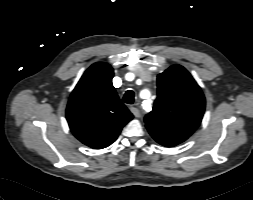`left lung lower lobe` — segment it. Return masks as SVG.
<instances>
[{
  "label": "left lung lower lobe",
  "mask_w": 253,
  "mask_h": 200,
  "mask_svg": "<svg viewBox=\"0 0 253 200\" xmlns=\"http://www.w3.org/2000/svg\"><path fill=\"white\" fill-rule=\"evenodd\" d=\"M150 135L161 145L166 147L176 146L185 141L189 136L166 132L153 127H147Z\"/></svg>",
  "instance_id": "obj_1"
}]
</instances>
